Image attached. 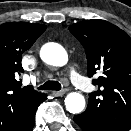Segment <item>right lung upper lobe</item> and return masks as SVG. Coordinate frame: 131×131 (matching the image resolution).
<instances>
[{
	"label": "right lung upper lobe",
	"instance_id": "1",
	"mask_svg": "<svg viewBox=\"0 0 131 131\" xmlns=\"http://www.w3.org/2000/svg\"><path fill=\"white\" fill-rule=\"evenodd\" d=\"M46 30L42 24L10 22L0 25V110L12 111L46 97L31 86L21 87V57Z\"/></svg>",
	"mask_w": 131,
	"mask_h": 131
}]
</instances>
